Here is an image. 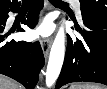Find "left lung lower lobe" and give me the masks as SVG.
<instances>
[{"mask_svg":"<svg viewBox=\"0 0 107 89\" xmlns=\"http://www.w3.org/2000/svg\"><path fill=\"white\" fill-rule=\"evenodd\" d=\"M84 40L68 38L63 67L55 89L70 82L107 85V15L82 12Z\"/></svg>","mask_w":107,"mask_h":89,"instance_id":"left-lung-lower-lobe-1","label":"left lung lower lobe"}]
</instances>
